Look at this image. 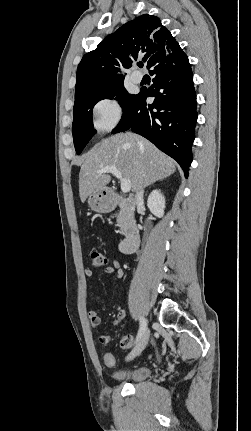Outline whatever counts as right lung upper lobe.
Wrapping results in <instances>:
<instances>
[{
  "instance_id": "cb5924a9",
  "label": "right lung upper lobe",
  "mask_w": 251,
  "mask_h": 431,
  "mask_svg": "<svg viewBox=\"0 0 251 431\" xmlns=\"http://www.w3.org/2000/svg\"><path fill=\"white\" fill-rule=\"evenodd\" d=\"M158 17L143 14L107 36L95 50L85 54L77 69L75 96L124 80L122 68L142 58L148 69L178 47Z\"/></svg>"
}]
</instances>
